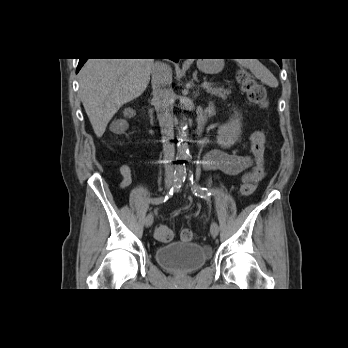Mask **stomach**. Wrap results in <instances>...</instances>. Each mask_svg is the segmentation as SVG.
Instances as JSON below:
<instances>
[{
	"mask_svg": "<svg viewBox=\"0 0 348 348\" xmlns=\"http://www.w3.org/2000/svg\"><path fill=\"white\" fill-rule=\"evenodd\" d=\"M224 66L223 59H199L197 67L206 74H216L222 70Z\"/></svg>",
	"mask_w": 348,
	"mask_h": 348,
	"instance_id": "1",
	"label": "stomach"
}]
</instances>
